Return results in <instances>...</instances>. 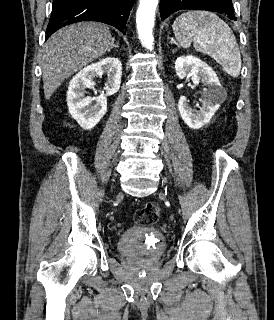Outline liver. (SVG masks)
Instances as JSON below:
<instances>
[{
  "instance_id": "obj_1",
  "label": "liver",
  "mask_w": 274,
  "mask_h": 320,
  "mask_svg": "<svg viewBox=\"0 0 274 320\" xmlns=\"http://www.w3.org/2000/svg\"><path fill=\"white\" fill-rule=\"evenodd\" d=\"M113 40L108 26L99 22H78L55 32L42 56L45 100H50L66 78L110 52Z\"/></svg>"
}]
</instances>
